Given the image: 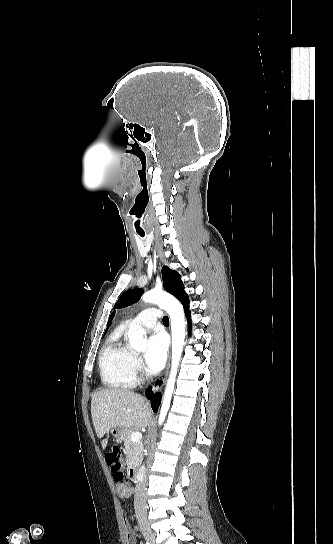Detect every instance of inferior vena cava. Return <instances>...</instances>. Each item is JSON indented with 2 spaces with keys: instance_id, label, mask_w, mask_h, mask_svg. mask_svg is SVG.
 I'll list each match as a JSON object with an SVG mask.
<instances>
[{
  "instance_id": "1",
  "label": "inferior vena cava",
  "mask_w": 333,
  "mask_h": 544,
  "mask_svg": "<svg viewBox=\"0 0 333 544\" xmlns=\"http://www.w3.org/2000/svg\"><path fill=\"white\" fill-rule=\"evenodd\" d=\"M146 480V467L142 465L139 469L134 495V509L138 519L145 517L147 514Z\"/></svg>"
}]
</instances>
